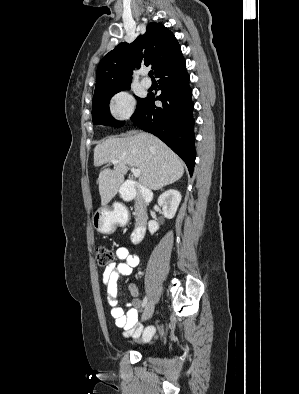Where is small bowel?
<instances>
[{
  "instance_id": "obj_1",
  "label": "small bowel",
  "mask_w": 299,
  "mask_h": 394,
  "mask_svg": "<svg viewBox=\"0 0 299 394\" xmlns=\"http://www.w3.org/2000/svg\"><path fill=\"white\" fill-rule=\"evenodd\" d=\"M116 258L118 262L108 265L102 274V285L106 292L107 303L111 306V316L116 326L124 330L125 336L150 341L155 336V329L153 327L143 329V326L137 323L141 301L138 298L139 287L135 283L128 286V292L132 296V300L126 304L128 311L125 313L124 309L117 305V281L120 277L131 274L139 264V256L129 247L121 245L116 248Z\"/></svg>"
}]
</instances>
